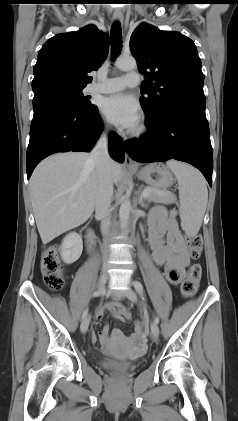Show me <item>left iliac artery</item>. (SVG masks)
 I'll return each mask as SVG.
<instances>
[{
    "instance_id": "1",
    "label": "left iliac artery",
    "mask_w": 238,
    "mask_h": 421,
    "mask_svg": "<svg viewBox=\"0 0 238 421\" xmlns=\"http://www.w3.org/2000/svg\"><path fill=\"white\" fill-rule=\"evenodd\" d=\"M133 285H134L136 291L138 292V294L141 295V296H143L144 295L143 285L139 281H135L133 283ZM154 322L158 324L159 323V318L158 317H155Z\"/></svg>"
}]
</instances>
